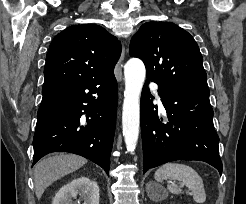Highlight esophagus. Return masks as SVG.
Returning a JSON list of instances; mask_svg holds the SVG:
<instances>
[{
    "label": "esophagus",
    "instance_id": "34e87169",
    "mask_svg": "<svg viewBox=\"0 0 246 204\" xmlns=\"http://www.w3.org/2000/svg\"><path fill=\"white\" fill-rule=\"evenodd\" d=\"M124 56H125V48L123 47L122 54H121V57H120V60H119L120 67L122 66V62L124 60Z\"/></svg>",
    "mask_w": 246,
    "mask_h": 204
}]
</instances>
